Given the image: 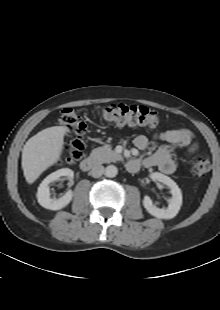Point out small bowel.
I'll return each mask as SVG.
<instances>
[{"label": "small bowel", "mask_w": 220, "mask_h": 310, "mask_svg": "<svg viewBox=\"0 0 220 310\" xmlns=\"http://www.w3.org/2000/svg\"><path fill=\"white\" fill-rule=\"evenodd\" d=\"M154 139L163 142L155 153L141 160L144 167H158L165 174H171L176 169V164L171 156V146L186 149L193 153L197 150V144L193 133L185 128L172 129L157 133ZM134 144L139 150H146L149 146V139L145 135H138Z\"/></svg>", "instance_id": "1"}]
</instances>
